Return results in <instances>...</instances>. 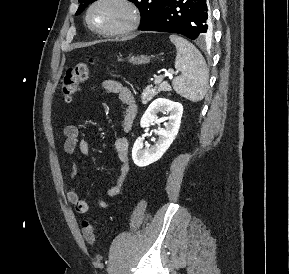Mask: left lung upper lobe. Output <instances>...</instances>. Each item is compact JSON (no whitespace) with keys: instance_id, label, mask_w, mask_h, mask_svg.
Listing matches in <instances>:
<instances>
[{"instance_id":"1","label":"left lung upper lobe","mask_w":289,"mask_h":274,"mask_svg":"<svg viewBox=\"0 0 289 274\" xmlns=\"http://www.w3.org/2000/svg\"><path fill=\"white\" fill-rule=\"evenodd\" d=\"M95 0H79V3L81 4L78 11L76 12V15L80 14L84 8L88 5V3H91ZM139 8L141 13V26L147 24L149 21H151L155 15L158 13V11L161 9L163 2L165 0H130Z\"/></svg>"}]
</instances>
